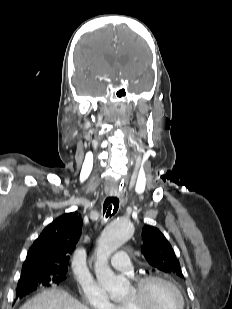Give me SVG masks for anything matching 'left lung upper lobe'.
Wrapping results in <instances>:
<instances>
[{
  "label": "left lung upper lobe",
  "instance_id": "5c2ea615",
  "mask_svg": "<svg viewBox=\"0 0 232 309\" xmlns=\"http://www.w3.org/2000/svg\"><path fill=\"white\" fill-rule=\"evenodd\" d=\"M142 253L147 262L157 269L183 277L180 262L165 236L155 227L146 225L142 230Z\"/></svg>",
  "mask_w": 232,
  "mask_h": 309
}]
</instances>
